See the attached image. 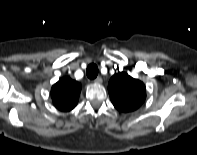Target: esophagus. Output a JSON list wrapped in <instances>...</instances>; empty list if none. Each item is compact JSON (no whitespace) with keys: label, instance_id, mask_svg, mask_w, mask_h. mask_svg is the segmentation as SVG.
Here are the masks:
<instances>
[{"label":"esophagus","instance_id":"obj_1","mask_svg":"<svg viewBox=\"0 0 197 155\" xmlns=\"http://www.w3.org/2000/svg\"><path fill=\"white\" fill-rule=\"evenodd\" d=\"M94 82L97 84H101L102 83V78L101 77H97L94 79Z\"/></svg>","mask_w":197,"mask_h":155}]
</instances>
